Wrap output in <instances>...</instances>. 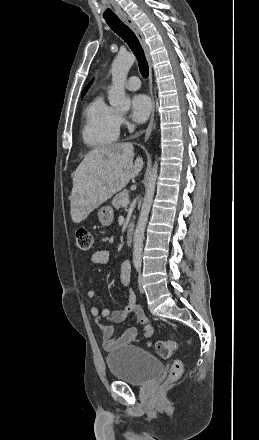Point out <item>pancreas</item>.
I'll list each match as a JSON object with an SVG mask.
<instances>
[{
    "mask_svg": "<svg viewBox=\"0 0 259 440\" xmlns=\"http://www.w3.org/2000/svg\"><path fill=\"white\" fill-rule=\"evenodd\" d=\"M128 197H129V192L127 190H124L113 198L112 205L114 206L115 209H119L122 206V201L124 199H128Z\"/></svg>",
    "mask_w": 259,
    "mask_h": 440,
    "instance_id": "1",
    "label": "pancreas"
}]
</instances>
